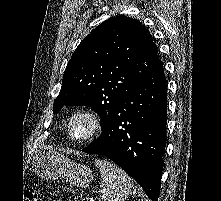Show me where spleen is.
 Here are the masks:
<instances>
[{"label":"spleen","instance_id":"3e777b00","mask_svg":"<svg viewBox=\"0 0 221 201\" xmlns=\"http://www.w3.org/2000/svg\"><path fill=\"white\" fill-rule=\"evenodd\" d=\"M95 165L101 173L99 201H125L136 194L133 181L119 166L104 159H96Z\"/></svg>","mask_w":221,"mask_h":201}]
</instances>
